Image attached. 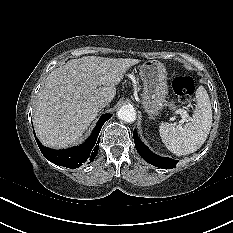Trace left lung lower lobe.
I'll return each instance as SVG.
<instances>
[{"label":"left lung lower lobe","mask_w":233,"mask_h":233,"mask_svg":"<svg viewBox=\"0 0 233 233\" xmlns=\"http://www.w3.org/2000/svg\"><path fill=\"white\" fill-rule=\"evenodd\" d=\"M133 138L138 153L145 161L153 166L163 169H172L176 167V164L178 163L177 160L160 157L150 151V149L141 140H139L136 130L133 132Z\"/></svg>","instance_id":"obj_1"}]
</instances>
